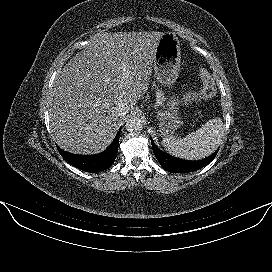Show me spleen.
<instances>
[{"label":"spleen","instance_id":"obj_1","mask_svg":"<svg viewBox=\"0 0 272 272\" xmlns=\"http://www.w3.org/2000/svg\"><path fill=\"white\" fill-rule=\"evenodd\" d=\"M223 136V123L221 118L207 121L195 132L183 139L173 136L164 137L163 147L172 155L187 160H199L214 152Z\"/></svg>","mask_w":272,"mask_h":272}]
</instances>
